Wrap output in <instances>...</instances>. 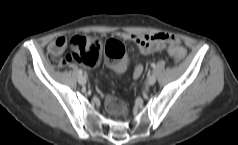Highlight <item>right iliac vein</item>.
<instances>
[{"instance_id": "obj_1", "label": "right iliac vein", "mask_w": 238, "mask_h": 145, "mask_svg": "<svg viewBox=\"0 0 238 145\" xmlns=\"http://www.w3.org/2000/svg\"><path fill=\"white\" fill-rule=\"evenodd\" d=\"M78 82H79V84L84 85V84H86L87 80L83 75H80L78 77Z\"/></svg>"}]
</instances>
